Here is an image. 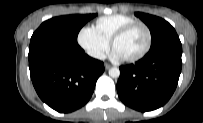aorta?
Here are the masks:
<instances>
[{
    "instance_id": "aorta-1",
    "label": "aorta",
    "mask_w": 203,
    "mask_h": 123,
    "mask_svg": "<svg viewBox=\"0 0 203 123\" xmlns=\"http://www.w3.org/2000/svg\"><path fill=\"white\" fill-rule=\"evenodd\" d=\"M109 76L112 78H118L120 76V70L117 67L109 69Z\"/></svg>"
}]
</instances>
